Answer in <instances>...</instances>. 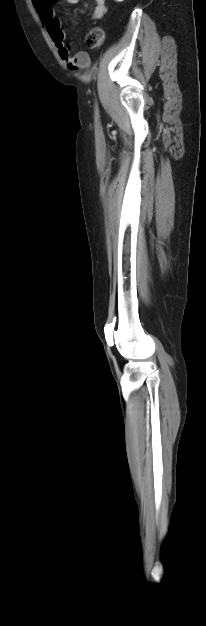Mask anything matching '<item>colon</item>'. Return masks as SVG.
Masks as SVG:
<instances>
[{"label": "colon", "mask_w": 206, "mask_h": 626, "mask_svg": "<svg viewBox=\"0 0 206 626\" xmlns=\"http://www.w3.org/2000/svg\"><path fill=\"white\" fill-rule=\"evenodd\" d=\"M103 41L104 31L99 27L93 28L86 37V44L90 48H96L100 46Z\"/></svg>", "instance_id": "5ec220e1"}]
</instances>
